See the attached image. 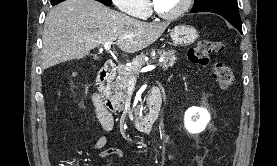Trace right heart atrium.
Listing matches in <instances>:
<instances>
[{"label":"right heart atrium","mask_w":277,"mask_h":166,"mask_svg":"<svg viewBox=\"0 0 277 166\" xmlns=\"http://www.w3.org/2000/svg\"><path fill=\"white\" fill-rule=\"evenodd\" d=\"M113 4L122 12L131 16H144L149 9L147 0H112Z\"/></svg>","instance_id":"d8ad5b80"}]
</instances>
